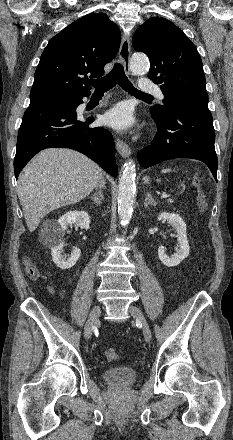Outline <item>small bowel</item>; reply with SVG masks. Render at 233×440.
<instances>
[{"label": "small bowel", "instance_id": "c3829d8e", "mask_svg": "<svg viewBox=\"0 0 233 440\" xmlns=\"http://www.w3.org/2000/svg\"><path fill=\"white\" fill-rule=\"evenodd\" d=\"M49 291L52 292V293L55 292L53 288H49ZM58 295L61 296V297L63 296L61 292H58Z\"/></svg>", "mask_w": 233, "mask_h": 440}]
</instances>
